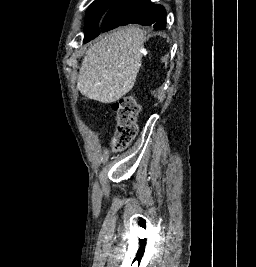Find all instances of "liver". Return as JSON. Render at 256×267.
I'll return each mask as SVG.
<instances>
[{
	"instance_id": "obj_1",
	"label": "liver",
	"mask_w": 256,
	"mask_h": 267,
	"mask_svg": "<svg viewBox=\"0 0 256 267\" xmlns=\"http://www.w3.org/2000/svg\"><path fill=\"white\" fill-rule=\"evenodd\" d=\"M139 26L118 28L86 50L77 80V90L103 104L117 102L132 90L144 48Z\"/></svg>"
}]
</instances>
